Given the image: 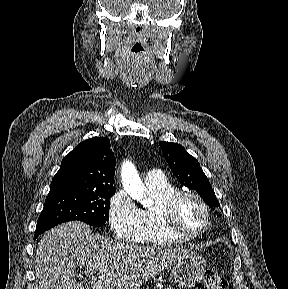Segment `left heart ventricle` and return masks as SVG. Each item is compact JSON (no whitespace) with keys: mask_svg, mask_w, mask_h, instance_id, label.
Masks as SVG:
<instances>
[{"mask_svg":"<svg viewBox=\"0 0 288 289\" xmlns=\"http://www.w3.org/2000/svg\"><path fill=\"white\" fill-rule=\"evenodd\" d=\"M178 227L194 233L201 230L205 224V214L200 204L193 198H185L179 202L175 211Z\"/></svg>","mask_w":288,"mask_h":289,"instance_id":"1","label":"left heart ventricle"}]
</instances>
